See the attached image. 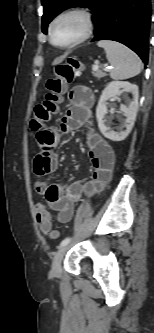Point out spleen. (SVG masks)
Wrapping results in <instances>:
<instances>
[{"mask_svg":"<svg viewBox=\"0 0 154 333\" xmlns=\"http://www.w3.org/2000/svg\"><path fill=\"white\" fill-rule=\"evenodd\" d=\"M97 45L106 52V57L112 65L110 77L115 80L129 79L138 75L142 68V61L128 47L111 40L98 41Z\"/></svg>","mask_w":154,"mask_h":333,"instance_id":"spleen-1","label":"spleen"}]
</instances>
